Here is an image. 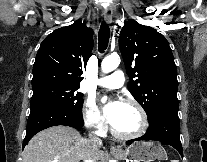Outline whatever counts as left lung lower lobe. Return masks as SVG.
I'll use <instances>...</instances> for the list:
<instances>
[{
  "label": "left lung lower lobe",
  "instance_id": "0a47b994",
  "mask_svg": "<svg viewBox=\"0 0 207 162\" xmlns=\"http://www.w3.org/2000/svg\"><path fill=\"white\" fill-rule=\"evenodd\" d=\"M139 140L160 141L163 144L171 145L183 156L180 141L178 108L167 107L158 110L152 118L149 119V128L147 132L139 138L127 141V143L130 144Z\"/></svg>",
  "mask_w": 207,
  "mask_h": 162
}]
</instances>
